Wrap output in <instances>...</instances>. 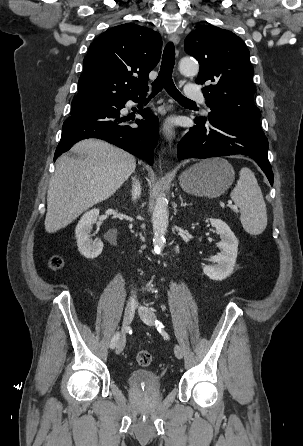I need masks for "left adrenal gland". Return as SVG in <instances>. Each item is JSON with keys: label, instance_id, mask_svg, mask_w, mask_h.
Here are the masks:
<instances>
[{"label": "left adrenal gland", "instance_id": "left-adrenal-gland-1", "mask_svg": "<svg viewBox=\"0 0 303 446\" xmlns=\"http://www.w3.org/2000/svg\"><path fill=\"white\" fill-rule=\"evenodd\" d=\"M179 198H180V201H181V206H184V207H186V206H189V205H191L190 203H189V204H187L186 202H184V201H183V198H182V196H181V195L179 196Z\"/></svg>", "mask_w": 303, "mask_h": 446}]
</instances>
